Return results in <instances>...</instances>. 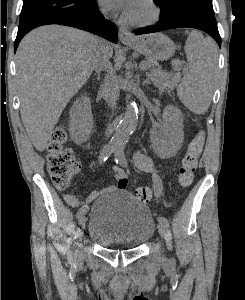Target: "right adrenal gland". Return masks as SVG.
<instances>
[{
	"mask_svg": "<svg viewBox=\"0 0 245 300\" xmlns=\"http://www.w3.org/2000/svg\"><path fill=\"white\" fill-rule=\"evenodd\" d=\"M97 78L100 79V73H98Z\"/></svg>",
	"mask_w": 245,
	"mask_h": 300,
	"instance_id": "obj_1",
	"label": "right adrenal gland"
}]
</instances>
